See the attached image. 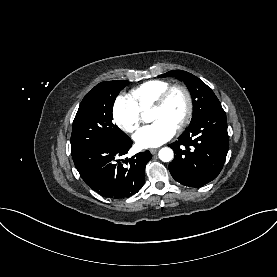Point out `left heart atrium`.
<instances>
[{"instance_id": "1", "label": "left heart atrium", "mask_w": 277, "mask_h": 277, "mask_svg": "<svg viewBox=\"0 0 277 277\" xmlns=\"http://www.w3.org/2000/svg\"><path fill=\"white\" fill-rule=\"evenodd\" d=\"M176 133V126L165 121L156 120L142 127L134 134L136 144L141 148H152L170 140Z\"/></svg>"}]
</instances>
